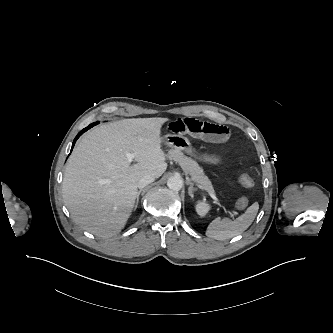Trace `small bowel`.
<instances>
[{"instance_id": "1", "label": "small bowel", "mask_w": 333, "mask_h": 333, "mask_svg": "<svg viewBox=\"0 0 333 333\" xmlns=\"http://www.w3.org/2000/svg\"><path fill=\"white\" fill-rule=\"evenodd\" d=\"M167 127L174 134L189 135L211 143H221L230 137V130L227 126L191 117L174 119L167 124Z\"/></svg>"}]
</instances>
